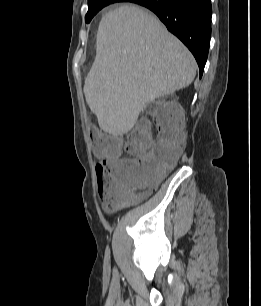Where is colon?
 <instances>
[{
	"label": "colon",
	"mask_w": 261,
	"mask_h": 306,
	"mask_svg": "<svg viewBox=\"0 0 261 306\" xmlns=\"http://www.w3.org/2000/svg\"><path fill=\"white\" fill-rule=\"evenodd\" d=\"M151 122L158 131L155 140L151 135ZM183 128L184 120L176 109L162 102H153L148 109V118L142 120L127 138L126 149L134 157H118L119 142L115 137L94 135L95 152L111 159L108 168L100 163L95 166L104 206L110 208L121 203L131 188L159 182L180 156Z\"/></svg>",
	"instance_id": "colon-1"
}]
</instances>
